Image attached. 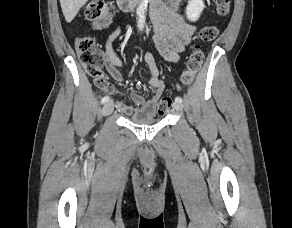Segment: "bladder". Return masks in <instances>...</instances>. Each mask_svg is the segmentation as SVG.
<instances>
[{"label":"bladder","instance_id":"31cf9c89","mask_svg":"<svg viewBox=\"0 0 292 228\" xmlns=\"http://www.w3.org/2000/svg\"><path fill=\"white\" fill-rule=\"evenodd\" d=\"M129 121L138 125H149L159 121V118L155 116H146L143 114H136L129 117Z\"/></svg>","mask_w":292,"mask_h":228}]
</instances>
